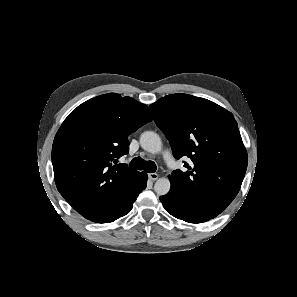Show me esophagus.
Returning <instances> with one entry per match:
<instances>
[{
    "label": "esophagus",
    "instance_id": "1",
    "mask_svg": "<svg viewBox=\"0 0 297 297\" xmlns=\"http://www.w3.org/2000/svg\"><path fill=\"white\" fill-rule=\"evenodd\" d=\"M158 174H156V173H149L148 174V178H149V180H151V181H155V180H157L158 179Z\"/></svg>",
    "mask_w": 297,
    "mask_h": 297
}]
</instances>
